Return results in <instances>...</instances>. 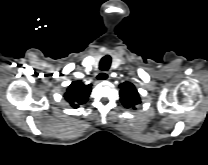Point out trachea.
Here are the masks:
<instances>
[{
	"label": "trachea",
	"instance_id": "trachea-1",
	"mask_svg": "<svg viewBox=\"0 0 208 165\" xmlns=\"http://www.w3.org/2000/svg\"><path fill=\"white\" fill-rule=\"evenodd\" d=\"M111 65V57L109 55H105L99 64V68L102 71H107L110 68Z\"/></svg>",
	"mask_w": 208,
	"mask_h": 165
}]
</instances>
